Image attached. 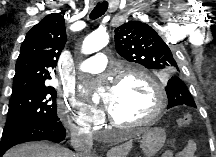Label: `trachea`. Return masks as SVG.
<instances>
[{"instance_id":"3493384b","label":"trachea","mask_w":216,"mask_h":157,"mask_svg":"<svg viewBox=\"0 0 216 157\" xmlns=\"http://www.w3.org/2000/svg\"><path fill=\"white\" fill-rule=\"evenodd\" d=\"M107 9H108L107 1L97 3L93 11L90 13V19L95 20L99 18L107 11Z\"/></svg>"}]
</instances>
